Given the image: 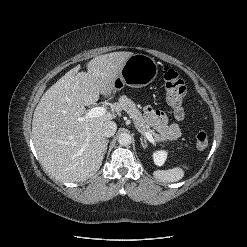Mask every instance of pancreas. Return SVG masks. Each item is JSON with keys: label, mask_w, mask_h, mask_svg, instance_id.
I'll use <instances>...</instances> for the list:
<instances>
[{"label": "pancreas", "mask_w": 247, "mask_h": 247, "mask_svg": "<svg viewBox=\"0 0 247 247\" xmlns=\"http://www.w3.org/2000/svg\"><path fill=\"white\" fill-rule=\"evenodd\" d=\"M119 103L122 109L126 111L129 117L133 120L135 127L140 132H149L154 137V140L157 142H165L167 140L165 136L156 133L150 128L148 124H146L142 113L139 111V109L136 107V104L130 98L121 96L119 99Z\"/></svg>", "instance_id": "1"}]
</instances>
